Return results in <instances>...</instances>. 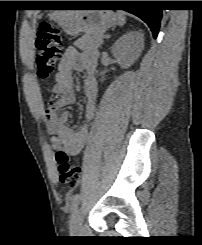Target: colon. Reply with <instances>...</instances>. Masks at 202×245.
Masks as SVG:
<instances>
[{
	"label": "colon",
	"instance_id": "obj_1",
	"mask_svg": "<svg viewBox=\"0 0 202 245\" xmlns=\"http://www.w3.org/2000/svg\"><path fill=\"white\" fill-rule=\"evenodd\" d=\"M35 48L37 75L41 79H47L54 73L62 51V40L58 29L47 21L41 22L35 38ZM56 160L61 182L71 188H77L82 175L81 167L71 162L69 154L64 151L57 152Z\"/></svg>",
	"mask_w": 202,
	"mask_h": 245
}]
</instances>
